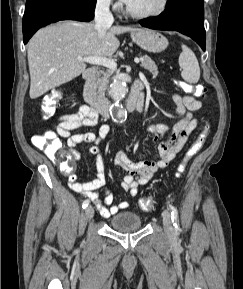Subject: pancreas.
<instances>
[{
	"label": "pancreas",
	"instance_id": "cf45deb5",
	"mask_svg": "<svg viewBox=\"0 0 243 289\" xmlns=\"http://www.w3.org/2000/svg\"><path fill=\"white\" fill-rule=\"evenodd\" d=\"M141 66L151 72L153 75H158V69L155 62L147 55L142 57ZM115 70L108 69L106 72H101L102 76L96 77L92 81V90L97 100L105 99V90L109 83V77L113 75Z\"/></svg>",
	"mask_w": 243,
	"mask_h": 289
}]
</instances>
